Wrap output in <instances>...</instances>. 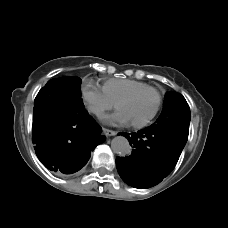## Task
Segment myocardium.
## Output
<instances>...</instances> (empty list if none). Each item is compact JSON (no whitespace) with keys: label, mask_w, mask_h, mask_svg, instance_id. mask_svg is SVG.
I'll return each instance as SVG.
<instances>
[{"label":"myocardium","mask_w":228,"mask_h":228,"mask_svg":"<svg viewBox=\"0 0 228 228\" xmlns=\"http://www.w3.org/2000/svg\"><path fill=\"white\" fill-rule=\"evenodd\" d=\"M147 92H153L156 94L157 96V103H156V106L153 110V112L144 120L140 121V122H131L130 121V124L135 127V128H141V127H144L146 126L147 124H149L153 119L154 117L157 115L159 109H160V106H161V103H162V96L160 94V92L153 88V87H150V88H147V89H144V90H140V91H137L135 93H132L128 96H126L125 98H123L118 104H117V108L122 112L121 110V107L126 104L127 102L135 99L136 97L142 95V94H145Z\"/></svg>","instance_id":"myocardium-1"}]
</instances>
